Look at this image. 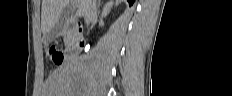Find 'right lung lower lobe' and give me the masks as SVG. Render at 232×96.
Instances as JSON below:
<instances>
[{
    "label": "right lung lower lobe",
    "mask_w": 232,
    "mask_h": 96,
    "mask_svg": "<svg viewBox=\"0 0 232 96\" xmlns=\"http://www.w3.org/2000/svg\"><path fill=\"white\" fill-rule=\"evenodd\" d=\"M129 2V5H132L134 3V0H127Z\"/></svg>",
    "instance_id": "right-lung-lower-lobe-1"
}]
</instances>
